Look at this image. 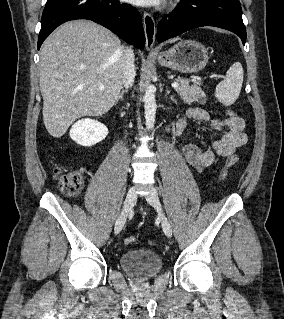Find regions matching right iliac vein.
Masks as SVG:
<instances>
[{
    "instance_id": "1",
    "label": "right iliac vein",
    "mask_w": 284,
    "mask_h": 319,
    "mask_svg": "<svg viewBox=\"0 0 284 319\" xmlns=\"http://www.w3.org/2000/svg\"><path fill=\"white\" fill-rule=\"evenodd\" d=\"M136 198H137V194H136L135 187H132L127 192L122 211L115 222V227H114L115 234H119L121 232L126 222L129 211L131 210L132 206L134 205L136 201Z\"/></svg>"
}]
</instances>
